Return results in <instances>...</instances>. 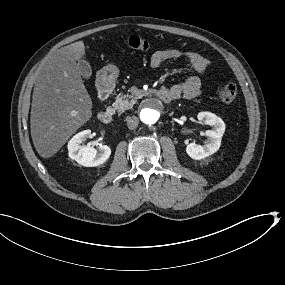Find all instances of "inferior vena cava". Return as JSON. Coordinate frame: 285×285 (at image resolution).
<instances>
[{
  "label": "inferior vena cava",
  "mask_w": 285,
  "mask_h": 285,
  "mask_svg": "<svg viewBox=\"0 0 285 285\" xmlns=\"http://www.w3.org/2000/svg\"><path fill=\"white\" fill-rule=\"evenodd\" d=\"M127 127L130 130L136 129L139 124V119L136 116H127L126 117Z\"/></svg>",
  "instance_id": "obj_1"
}]
</instances>
